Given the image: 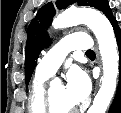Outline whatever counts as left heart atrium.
Listing matches in <instances>:
<instances>
[{"label": "left heart atrium", "instance_id": "left-heart-atrium-1", "mask_svg": "<svg viewBox=\"0 0 121 113\" xmlns=\"http://www.w3.org/2000/svg\"><path fill=\"white\" fill-rule=\"evenodd\" d=\"M65 89L74 104L83 102L90 93V79L83 70L74 68L67 75Z\"/></svg>", "mask_w": 121, "mask_h": 113}]
</instances>
